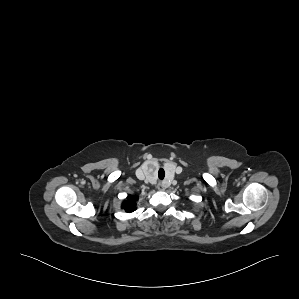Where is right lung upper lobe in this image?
Returning a JSON list of instances; mask_svg holds the SVG:
<instances>
[{
	"label": "right lung upper lobe",
	"mask_w": 299,
	"mask_h": 299,
	"mask_svg": "<svg viewBox=\"0 0 299 299\" xmlns=\"http://www.w3.org/2000/svg\"><path fill=\"white\" fill-rule=\"evenodd\" d=\"M136 201H137V197L134 195H129L127 200L123 202L122 204V208L126 211V212H133L136 210Z\"/></svg>",
	"instance_id": "cb5924a9"
}]
</instances>
